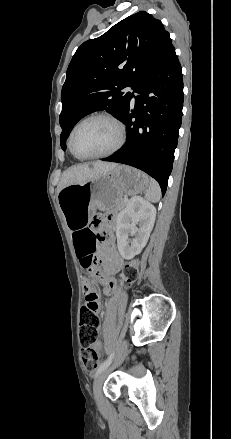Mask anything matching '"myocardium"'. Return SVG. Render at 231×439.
<instances>
[{
  "label": "myocardium",
  "instance_id": "f54148a6",
  "mask_svg": "<svg viewBox=\"0 0 231 439\" xmlns=\"http://www.w3.org/2000/svg\"><path fill=\"white\" fill-rule=\"evenodd\" d=\"M95 118L106 119V120L110 121L116 127L117 133H118L117 141L113 147H111L109 150H107L105 152L98 153V154H92V155H80V154L76 153V151L74 150V147H73L74 134L80 125H82L84 122H86L88 120L95 119ZM125 139H126L125 127H124L123 123L115 115H113L112 113H109V112H94V113H91V114L85 116L84 118L79 120L74 125V127L72 128L70 135H69L68 146H69L71 153L75 157H77L78 159H83V160L99 159V158L109 157V156L113 155L114 153H116L123 146Z\"/></svg>",
  "mask_w": 231,
  "mask_h": 439
}]
</instances>
